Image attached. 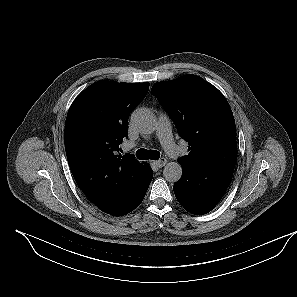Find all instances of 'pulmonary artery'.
Instances as JSON below:
<instances>
[{
  "label": "pulmonary artery",
  "mask_w": 297,
  "mask_h": 297,
  "mask_svg": "<svg viewBox=\"0 0 297 297\" xmlns=\"http://www.w3.org/2000/svg\"><path fill=\"white\" fill-rule=\"evenodd\" d=\"M156 135L169 155L177 157L182 154V149L172 139L170 120L165 114L158 117Z\"/></svg>",
  "instance_id": "e3ab8cb5"
}]
</instances>
